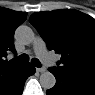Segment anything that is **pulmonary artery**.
Masks as SVG:
<instances>
[{
    "label": "pulmonary artery",
    "instance_id": "pulmonary-artery-1",
    "mask_svg": "<svg viewBox=\"0 0 95 95\" xmlns=\"http://www.w3.org/2000/svg\"><path fill=\"white\" fill-rule=\"evenodd\" d=\"M34 51L36 55L47 65L54 66L57 62L54 55L50 54L47 51L45 42L40 38L37 37L34 41Z\"/></svg>",
    "mask_w": 95,
    "mask_h": 95
}]
</instances>
